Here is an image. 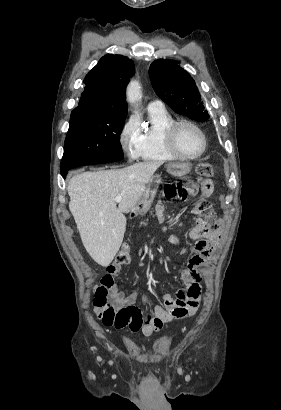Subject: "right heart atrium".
Here are the masks:
<instances>
[{"instance_id":"d8ad5b80","label":"right heart atrium","mask_w":281,"mask_h":410,"mask_svg":"<svg viewBox=\"0 0 281 410\" xmlns=\"http://www.w3.org/2000/svg\"><path fill=\"white\" fill-rule=\"evenodd\" d=\"M141 138V124L136 115H130L123 123L119 141L124 153L130 158H137Z\"/></svg>"}]
</instances>
